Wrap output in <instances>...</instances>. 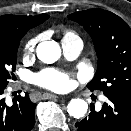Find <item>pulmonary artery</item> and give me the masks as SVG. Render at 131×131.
I'll return each mask as SVG.
<instances>
[{
	"label": "pulmonary artery",
	"mask_w": 131,
	"mask_h": 131,
	"mask_svg": "<svg viewBox=\"0 0 131 131\" xmlns=\"http://www.w3.org/2000/svg\"><path fill=\"white\" fill-rule=\"evenodd\" d=\"M62 48L64 55L68 59H74L80 54L83 48V43L78 37L63 38Z\"/></svg>",
	"instance_id": "1"
}]
</instances>
